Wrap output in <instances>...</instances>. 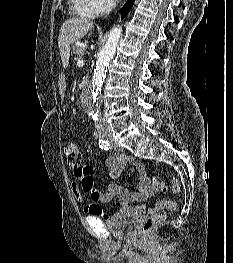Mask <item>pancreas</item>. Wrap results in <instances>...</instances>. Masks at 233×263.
I'll use <instances>...</instances> for the list:
<instances>
[{
    "label": "pancreas",
    "instance_id": "pancreas-1",
    "mask_svg": "<svg viewBox=\"0 0 233 263\" xmlns=\"http://www.w3.org/2000/svg\"><path fill=\"white\" fill-rule=\"evenodd\" d=\"M85 52V49L77 45L72 46V53L76 56L82 57Z\"/></svg>",
    "mask_w": 233,
    "mask_h": 263
}]
</instances>
